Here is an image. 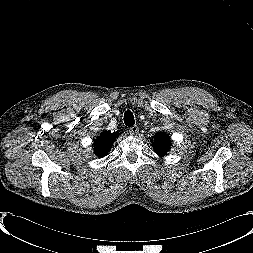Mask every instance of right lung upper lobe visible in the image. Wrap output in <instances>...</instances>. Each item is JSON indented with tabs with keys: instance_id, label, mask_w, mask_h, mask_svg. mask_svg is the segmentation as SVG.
<instances>
[{
	"instance_id": "cb5924a9",
	"label": "right lung upper lobe",
	"mask_w": 253,
	"mask_h": 253,
	"mask_svg": "<svg viewBox=\"0 0 253 253\" xmlns=\"http://www.w3.org/2000/svg\"><path fill=\"white\" fill-rule=\"evenodd\" d=\"M118 135V133H111L110 131L101 133L94 142V151L96 155L100 158L106 156Z\"/></svg>"
}]
</instances>
